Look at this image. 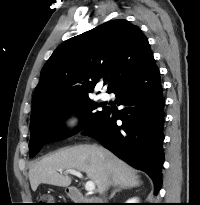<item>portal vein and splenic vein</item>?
Masks as SVG:
<instances>
[{
	"instance_id": "18ae733b",
	"label": "portal vein and splenic vein",
	"mask_w": 200,
	"mask_h": 205,
	"mask_svg": "<svg viewBox=\"0 0 200 205\" xmlns=\"http://www.w3.org/2000/svg\"><path fill=\"white\" fill-rule=\"evenodd\" d=\"M59 172L62 173L63 170L60 169ZM65 172L69 173V174H72V175H75L77 177H83L81 172L76 171V170L69 169V170H66ZM85 190L87 192H93L95 190L94 182L93 181H87L86 184H85Z\"/></svg>"
}]
</instances>
